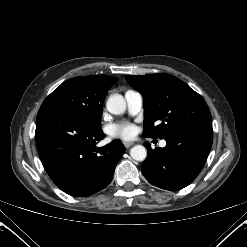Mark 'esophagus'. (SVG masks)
Masks as SVG:
<instances>
[{
  "mask_svg": "<svg viewBox=\"0 0 247 247\" xmlns=\"http://www.w3.org/2000/svg\"><path fill=\"white\" fill-rule=\"evenodd\" d=\"M123 144H124V146H125L126 148H129V147L132 146L134 143H133V142H130V141H125V142H123Z\"/></svg>",
  "mask_w": 247,
  "mask_h": 247,
  "instance_id": "esophagus-1",
  "label": "esophagus"
}]
</instances>
